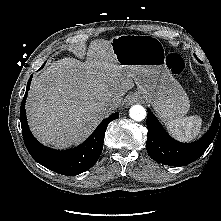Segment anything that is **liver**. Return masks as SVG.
Segmentation results:
<instances>
[{
    "instance_id": "obj_1",
    "label": "liver",
    "mask_w": 221,
    "mask_h": 221,
    "mask_svg": "<svg viewBox=\"0 0 221 221\" xmlns=\"http://www.w3.org/2000/svg\"><path fill=\"white\" fill-rule=\"evenodd\" d=\"M133 87L132 75L117 62L110 41L94 40L86 62L63 58L32 82L26 102L30 129L55 148L79 144L107 116L104 105H121Z\"/></svg>"
}]
</instances>
